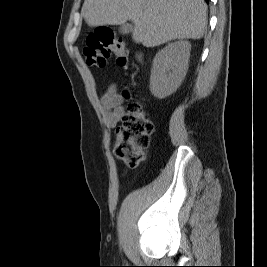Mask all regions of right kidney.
Wrapping results in <instances>:
<instances>
[{
	"mask_svg": "<svg viewBox=\"0 0 267 267\" xmlns=\"http://www.w3.org/2000/svg\"><path fill=\"white\" fill-rule=\"evenodd\" d=\"M191 44L188 41L169 43L156 54L150 76V91L163 99L181 85L187 70Z\"/></svg>",
	"mask_w": 267,
	"mask_h": 267,
	"instance_id": "ca27d5eb",
	"label": "right kidney"
}]
</instances>
